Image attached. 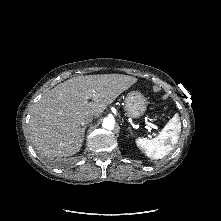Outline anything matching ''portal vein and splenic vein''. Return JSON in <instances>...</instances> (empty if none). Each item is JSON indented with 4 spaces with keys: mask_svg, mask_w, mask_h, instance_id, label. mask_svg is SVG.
<instances>
[{
    "mask_svg": "<svg viewBox=\"0 0 221 221\" xmlns=\"http://www.w3.org/2000/svg\"><path fill=\"white\" fill-rule=\"evenodd\" d=\"M149 126H151L152 128H155L156 126L151 124V123H148Z\"/></svg>",
    "mask_w": 221,
    "mask_h": 221,
    "instance_id": "obj_1",
    "label": "portal vein and splenic vein"
}]
</instances>
